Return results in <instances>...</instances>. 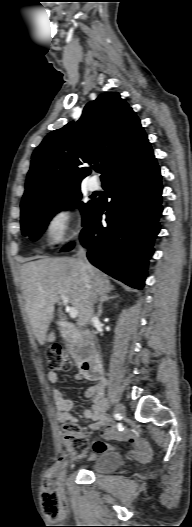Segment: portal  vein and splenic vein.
<instances>
[{"instance_id":"1","label":"portal vein and splenic vein","mask_w":192,"mask_h":527,"mask_svg":"<svg viewBox=\"0 0 192 527\" xmlns=\"http://www.w3.org/2000/svg\"><path fill=\"white\" fill-rule=\"evenodd\" d=\"M61 300L65 306H68L69 299L66 296L62 295ZM67 311L71 318H76L78 316V311L74 307L67 308Z\"/></svg>"}]
</instances>
